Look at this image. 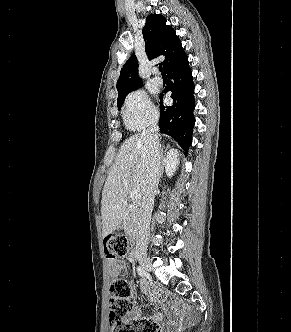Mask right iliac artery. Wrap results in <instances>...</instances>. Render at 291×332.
I'll list each match as a JSON object with an SVG mask.
<instances>
[{
    "instance_id": "right-iliac-artery-1",
    "label": "right iliac artery",
    "mask_w": 291,
    "mask_h": 332,
    "mask_svg": "<svg viewBox=\"0 0 291 332\" xmlns=\"http://www.w3.org/2000/svg\"><path fill=\"white\" fill-rule=\"evenodd\" d=\"M137 272L142 277L145 276V274H146L145 271H144V269L141 266L137 267Z\"/></svg>"
}]
</instances>
